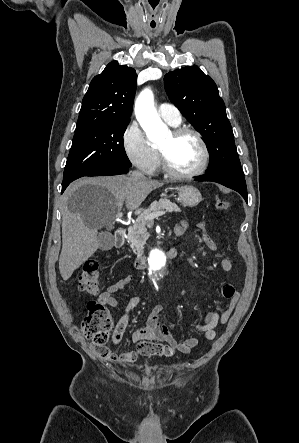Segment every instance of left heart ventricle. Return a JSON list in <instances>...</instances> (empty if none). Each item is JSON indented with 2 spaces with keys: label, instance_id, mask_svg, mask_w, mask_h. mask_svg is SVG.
<instances>
[{
  "label": "left heart ventricle",
  "instance_id": "left-heart-ventricle-1",
  "mask_svg": "<svg viewBox=\"0 0 299 443\" xmlns=\"http://www.w3.org/2000/svg\"><path fill=\"white\" fill-rule=\"evenodd\" d=\"M159 148L166 152L169 164L179 172H190L197 168L201 161L200 145L192 134L173 138L169 133Z\"/></svg>",
  "mask_w": 299,
  "mask_h": 443
}]
</instances>
